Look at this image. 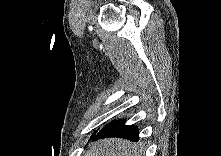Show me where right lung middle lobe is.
Wrapping results in <instances>:
<instances>
[{"mask_svg":"<svg viewBox=\"0 0 221 156\" xmlns=\"http://www.w3.org/2000/svg\"><path fill=\"white\" fill-rule=\"evenodd\" d=\"M95 134H96V132L92 135V137L91 138H93L94 136H95Z\"/></svg>","mask_w":221,"mask_h":156,"instance_id":"1","label":"right lung middle lobe"}]
</instances>
